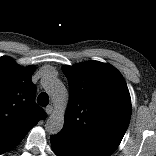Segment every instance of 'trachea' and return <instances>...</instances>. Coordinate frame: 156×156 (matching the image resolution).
<instances>
[{"mask_svg":"<svg viewBox=\"0 0 156 156\" xmlns=\"http://www.w3.org/2000/svg\"><path fill=\"white\" fill-rule=\"evenodd\" d=\"M37 103L42 107L47 106L49 103V97H48L47 93H45V92L40 93L37 98Z\"/></svg>","mask_w":156,"mask_h":156,"instance_id":"obj_1","label":"trachea"}]
</instances>
